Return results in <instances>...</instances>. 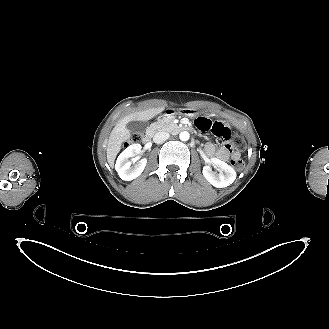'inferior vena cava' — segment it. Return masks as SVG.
Masks as SVG:
<instances>
[{
    "mask_svg": "<svg viewBox=\"0 0 329 329\" xmlns=\"http://www.w3.org/2000/svg\"><path fill=\"white\" fill-rule=\"evenodd\" d=\"M170 137L168 132L165 131H160L157 132L154 137H153V141L157 144L163 143L165 142L168 138Z\"/></svg>",
    "mask_w": 329,
    "mask_h": 329,
    "instance_id": "inferior-vena-cava-1",
    "label": "inferior vena cava"
}]
</instances>
